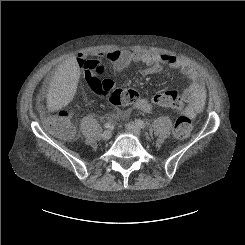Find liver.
Returning a JSON list of instances; mask_svg holds the SVG:
<instances>
[{
    "instance_id": "liver-1",
    "label": "liver",
    "mask_w": 245,
    "mask_h": 245,
    "mask_svg": "<svg viewBox=\"0 0 245 245\" xmlns=\"http://www.w3.org/2000/svg\"><path fill=\"white\" fill-rule=\"evenodd\" d=\"M79 74L80 69L75 57H71L59 65L47 95V108L50 112L58 111L72 101Z\"/></svg>"
}]
</instances>
